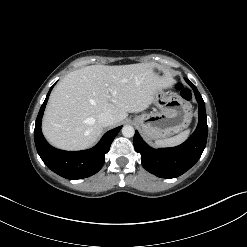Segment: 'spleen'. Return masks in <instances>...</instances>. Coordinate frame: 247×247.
<instances>
[{
	"label": "spleen",
	"mask_w": 247,
	"mask_h": 247,
	"mask_svg": "<svg viewBox=\"0 0 247 247\" xmlns=\"http://www.w3.org/2000/svg\"><path fill=\"white\" fill-rule=\"evenodd\" d=\"M189 134H190V131L186 130V131L181 132L180 134H178L174 137L156 140L155 144L159 147L177 146V145L183 143L188 138Z\"/></svg>",
	"instance_id": "obj_1"
}]
</instances>
